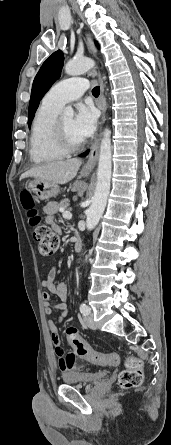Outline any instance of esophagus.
Returning a JSON list of instances; mask_svg holds the SVG:
<instances>
[{
  "instance_id": "obj_1",
  "label": "esophagus",
  "mask_w": 171,
  "mask_h": 445,
  "mask_svg": "<svg viewBox=\"0 0 171 445\" xmlns=\"http://www.w3.org/2000/svg\"><path fill=\"white\" fill-rule=\"evenodd\" d=\"M86 43L88 46V49L90 51V53L96 57V49L95 46L91 40V38L89 37V35L86 36ZM98 77L100 79L101 82V95H100V100H99V108L102 111V119H101V124L104 123L105 121V112L107 109V103H106V98L104 95V83H103V78L101 76V74H98ZM99 141L100 138L96 141V143L93 145L91 152L82 168L83 172H90L96 165L97 159H98V153H99Z\"/></svg>"
}]
</instances>
